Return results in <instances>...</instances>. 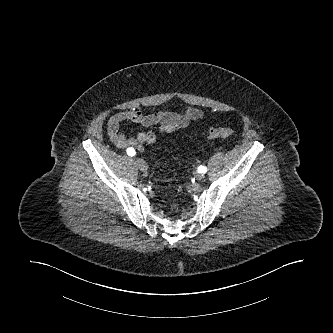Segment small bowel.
I'll return each instance as SVG.
<instances>
[{"label":"small bowel","mask_w":333,"mask_h":333,"mask_svg":"<svg viewBox=\"0 0 333 333\" xmlns=\"http://www.w3.org/2000/svg\"><path fill=\"white\" fill-rule=\"evenodd\" d=\"M202 117V113L194 108L180 113L159 110L144 114L140 110L127 109L113 114L107 124L108 136L118 149L142 148L156 142V132L172 133L187 127L192 121ZM124 123L138 124L148 128L145 132L126 135L121 131Z\"/></svg>","instance_id":"1"}]
</instances>
